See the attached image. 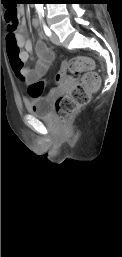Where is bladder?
<instances>
[{
  "mask_svg": "<svg viewBox=\"0 0 122 257\" xmlns=\"http://www.w3.org/2000/svg\"><path fill=\"white\" fill-rule=\"evenodd\" d=\"M28 113L37 117H48L52 110V99L50 96H36L25 103Z\"/></svg>",
  "mask_w": 122,
  "mask_h": 257,
  "instance_id": "obj_1",
  "label": "bladder"
}]
</instances>
